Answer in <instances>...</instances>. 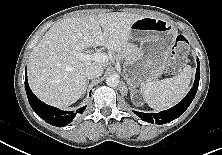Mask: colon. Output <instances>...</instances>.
<instances>
[{"label": "colon", "instance_id": "5ec220e1", "mask_svg": "<svg viewBox=\"0 0 222 155\" xmlns=\"http://www.w3.org/2000/svg\"><path fill=\"white\" fill-rule=\"evenodd\" d=\"M172 58L169 62L168 68L170 71L175 72L180 69L189 55V43L188 40L178 35L171 49Z\"/></svg>", "mask_w": 222, "mask_h": 155}]
</instances>
